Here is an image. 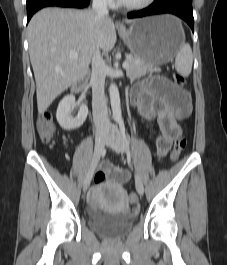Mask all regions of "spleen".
Here are the masks:
<instances>
[{
  "instance_id": "3e777b00",
  "label": "spleen",
  "mask_w": 227,
  "mask_h": 265,
  "mask_svg": "<svg viewBox=\"0 0 227 265\" xmlns=\"http://www.w3.org/2000/svg\"><path fill=\"white\" fill-rule=\"evenodd\" d=\"M193 54L189 44H183L176 54L175 68L182 76H189L192 70Z\"/></svg>"
}]
</instances>
